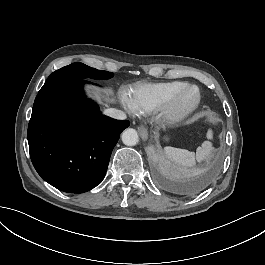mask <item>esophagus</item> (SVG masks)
Instances as JSON below:
<instances>
[{
  "mask_svg": "<svg viewBox=\"0 0 265 265\" xmlns=\"http://www.w3.org/2000/svg\"><path fill=\"white\" fill-rule=\"evenodd\" d=\"M137 130L142 138L143 141L148 139V130L143 125L137 127Z\"/></svg>",
  "mask_w": 265,
  "mask_h": 265,
  "instance_id": "esophagus-1",
  "label": "esophagus"
}]
</instances>
